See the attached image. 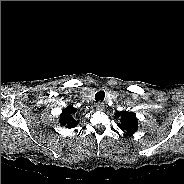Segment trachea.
<instances>
[{"instance_id": "1", "label": "trachea", "mask_w": 184, "mask_h": 184, "mask_svg": "<svg viewBox=\"0 0 184 184\" xmlns=\"http://www.w3.org/2000/svg\"><path fill=\"white\" fill-rule=\"evenodd\" d=\"M104 97H105V92L104 91H98L95 94V100L96 101H103L104 100Z\"/></svg>"}]
</instances>
